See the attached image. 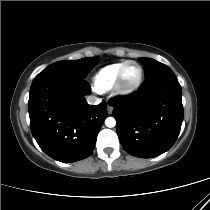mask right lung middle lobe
Returning <instances> with one entry per match:
<instances>
[{
    "label": "right lung middle lobe",
    "mask_w": 210,
    "mask_h": 210,
    "mask_svg": "<svg viewBox=\"0 0 210 210\" xmlns=\"http://www.w3.org/2000/svg\"><path fill=\"white\" fill-rule=\"evenodd\" d=\"M97 60V58L88 57L80 60L58 61L46 67L37 76L59 74L84 78L98 63Z\"/></svg>",
    "instance_id": "right-lung-middle-lobe-1"
}]
</instances>
